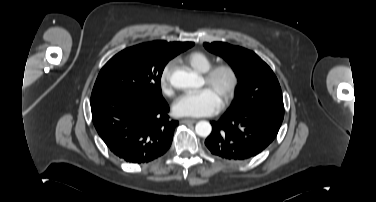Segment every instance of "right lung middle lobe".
I'll return each instance as SVG.
<instances>
[{
  "label": "right lung middle lobe",
  "mask_w": 376,
  "mask_h": 202,
  "mask_svg": "<svg viewBox=\"0 0 376 202\" xmlns=\"http://www.w3.org/2000/svg\"><path fill=\"white\" fill-rule=\"evenodd\" d=\"M187 42L153 57L145 46L127 48L111 58L101 69L91 99L109 93L161 98V75L167 62L193 46Z\"/></svg>",
  "instance_id": "obj_1"
}]
</instances>
